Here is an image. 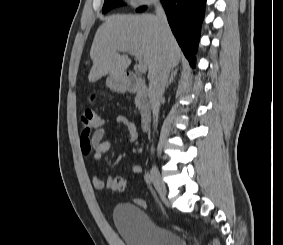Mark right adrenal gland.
<instances>
[{
  "instance_id": "obj_1",
  "label": "right adrenal gland",
  "mask_w": 283,
  "mask_h": 245,
  "mask_svg": "<svg viewBox=\"0 0 283 245\" xmlns=\"http://www.w3.org/2000/svg\"><path fill=\"white\" fill-rule=\"evenodd\" d=\"M177 73H178V69H174L172 72H171V75L169 77V80L167 81L166 83V88L169 87V85L174 81L175 77L177 76Z\"/></svg>"
}]
</instances>
